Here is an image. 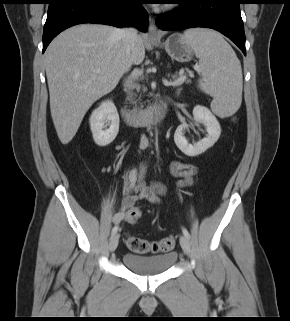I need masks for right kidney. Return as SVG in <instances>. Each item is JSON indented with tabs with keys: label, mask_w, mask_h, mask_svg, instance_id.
I'll use <instances>...</instances> for the list:
<instances>
[{
	"label": "right kidney",
	"mask_w": 290,
	"mask_h": 321,
	"mask_svg": "<svg viewBox=\"0 0 290 321\" xmlns=\"http://www.w3.org/2000/svg\"><path fill=\"white\" fill-rule=\"evenodd\" d=\"M89 122L94 142L98 146L110 144L119 131V115L114 103L111 100L103 101L92 112Z\"/></svg>",
	"instance_id": "right-kidney-1"
}]
</instances>
